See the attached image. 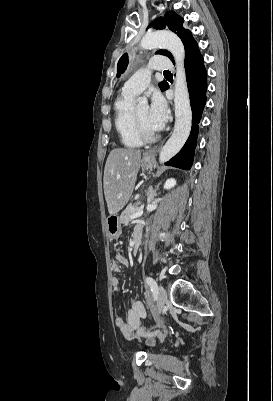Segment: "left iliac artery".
<instances>
[{
	"label": "left iliac artery",
	"instance_id": "left-iliac-artery-1",
	"mask_svg": "<svg viewBox=\"0 0 273 401\" xmlns=\"http://www.w3.org/2000/svg\"><path fill=\"white\" fill-rule=\"evenodd\" d=\"M146 282L150 285L151 290L155 293L157 292V284L152 277H147Z\"/></svg>",
	"mask_w": 273,
	"mask_h": 401
}]
</instances>
